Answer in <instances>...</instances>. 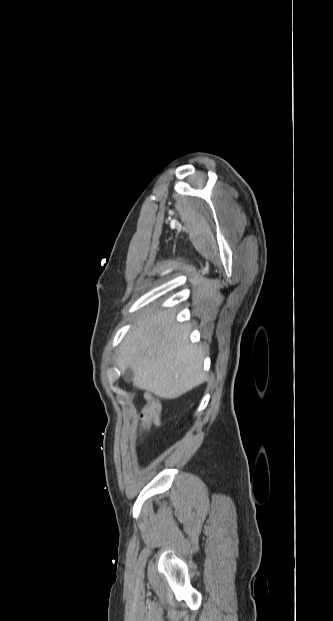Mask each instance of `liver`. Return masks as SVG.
Returning <instances> with one entry per match:
<instances>
[{"label": "liver", "instance_id": "6515ba94", "mask_svg": "<svg viewBox=\"0 0 333 621\" xmlns=\"http://www.w3.org/2000/svg\"><path fill=\"white\" fill-rule=\"evenodd\" d=\"M187 325L175 322L172 309L147 310L125 336L116 359L129 366L134 386L163 399H175L201 384L205 358L201 346L189 342Z\"/></svg>", "mask_w": 333, "mask_h": 621}]
</instances>
